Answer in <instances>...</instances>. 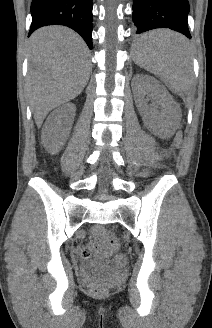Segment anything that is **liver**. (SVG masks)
<instances>
[{
    "label": "liver",
    "instance_id": "liver-1",
    "mask_svg": "<svg viewBox=\"0 0 212 328\" xmlns=\"http://www.w3.org/2000/svg\"><path fill=\"white\" fill-rule=\"evenodd\" d=\"M27 92L37 127L54 108L74 99L87 85L89 51L73 30L49 26L30 38Z\"/></svg>",
    "mask_w": 212,
    "mask_h": 328
}]
</instances>
